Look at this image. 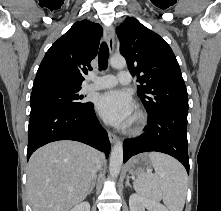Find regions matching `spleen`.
Returning a JSON list of instances; mask_svg holds the SVG:
<instances>
[{
  "label": "spleen",
  "instance_id": "obj_1",
  "mask_svg": "<svg viewBox=\"0 0 221 211\" xmlns=\"http://www.w3.org/2000/svg\"><path fill=\"white\" fill-rule=\"evenodd\" d=\"M155 174L137 176L133 187L139 194L155 201L163 200L169 211H182L187 192V173L174 158L159 152L147 154Z\"/></svg>",
  "mask_w": 221,
  "mask_h": 211
}]
</instances>
